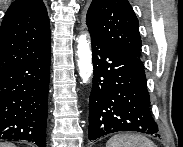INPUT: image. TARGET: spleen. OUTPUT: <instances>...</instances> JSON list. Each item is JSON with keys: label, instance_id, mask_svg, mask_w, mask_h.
<instances>
[{"label": "spleen", "instance_id": "obj_1", "mask_svg": "<svg viewBox=\"0 0 183 147\" xmlns=\"http://www.w3.org/2000/svg\"><path fill=\"white\" fill-rule=\"evenodd\" d=\"M106 147H156V145L142 135L117 134L108 140Z\"/></svg>", "mask_w": 183, "mask_h": 147}]
</instances>
